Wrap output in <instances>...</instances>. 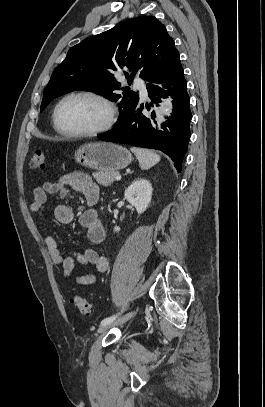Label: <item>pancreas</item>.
Wrapping results in <instances>:
<instances>
[{
	"mask_svg": "<svg viewBox=\"0 0 265 407\" xmlns=\"http://www.w3.org/2000/svg\"><path fill=\"white\" fill-rule=\"evenodd\" d=\"M96 181L102 186H109L118 175L117 171H99L92 174Z\"/></svg>",
	"mask_w": 265,
	"mask_h": 407,
	"instance_id": "cf45deb5",
	"label": "pancreas"
}]
</instances>
